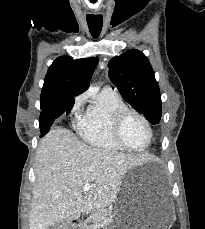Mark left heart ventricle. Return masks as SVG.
I'll list each match as a JSON object with an SVG mask.
<instances>
[{
	"mask_svg": "<svg viewBox=\"0 0 205 229\" xmlns=\"http://www.w3.org/2000/svg\"><path fill=\"white\" fill-rule=\"evenodd\" d=\"M125 142L133 148H142L147 144L148 131L145 125L135 116H129L122 129Z\"/></svg>",
	"mask_w": 205,
	"mask_h": 229,
	"instance_id": "b2bd125f",
	"label": "left heart ventricle"
}]
</instances>
